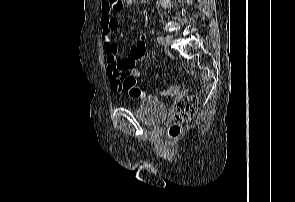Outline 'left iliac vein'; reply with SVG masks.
<instances>
[{
    "instance_id": "left-iliac-vein-1",
    "label": "left iliac vein",
    "mask_w": 295,
    "mask_h": 202,
    "mask_svg": "<svg viewBox=\"0 0 295 202\" xmlns=\"http://www.w3.org/2000/svg\"><path fill=\"white\" fill-rule=\"evenodd\" d=\"M173 41V37L171 35H167L165 38H164V42H163V45L164 47H168L170 46V44L172 43Z\"/></svg>"
}]
</instances>
